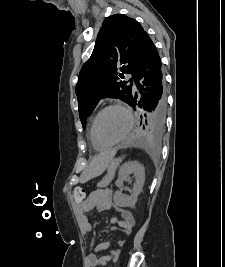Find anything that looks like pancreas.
<instances>
[{
  "label": "pancreas",
  "mask_w": 225,
  "mask_h": 267,
  "mask_svg": "<svg viewBox=\"0 0 225 267\" xmlns=\"http://www.w3.org/2000/svg\"><path fill=\"white\" fill-rule=\"evenodd\" d=\"M117 166H118L117 160H113V161L110 162V164L108 166L107 174L97 184L98 188H105L111 183V181L113 180V178L115 176V172H116Z\"/></svg>",
  "instance_id": "obj_1"
}]
</instances>
